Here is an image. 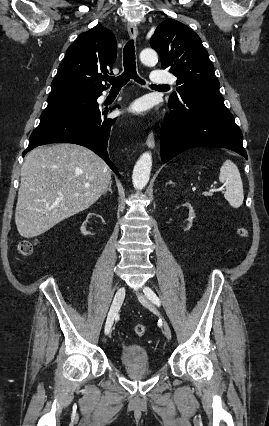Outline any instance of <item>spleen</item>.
<instances>
[{
	"label": "spleen",
	"mask_w": 269,
	"mask_h": 426,
	"mask_svg": "<svg viewBox=\"0 0 269 426\" xmlns=\"http://www.w3.org/2000/svg\"><path fill=\"white\" fill-rule=\"evenodd\" d=\"M219 181L225 186V199L233 208H239L244 200L243 183L238 167L231 160L223 162Z\"/></svg>",
	"instance_id": "obj_1"
}]
</instances>
